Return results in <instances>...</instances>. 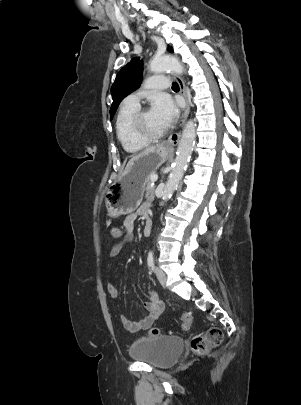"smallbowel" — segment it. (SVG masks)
I'll return each mask as SVG.
<instances>
[{"label":"small bowel","instance_id":"obj_1","mask_svg":"<svg viewBox=\"0 0 301 405\" xmlns=\"http://www.w3.org/2000/svg\"><path fill=\"white\" fill-rule=\"evenodd\" d=\"M149 207L150 206L148 203H144L136 212L130 213L125 217L123 223L125 235L123 236L122 231L119 229L118 236H111L113 240L117 241L110 249L111 257H116L122 250L123 246L133 240L135 221L138 216H141L147 220L149 218ZM107 291L111 299L115 301L119 294L118 288L113 283L109 282L107 284ZM143 305L146 310V315L140 320L132 321L125 315L120 316V320L124 328L131 333L150 328L163 311V304L159 300L157 293L153 290L147 291Z\"/></svg>","mask_w":301,"mask_h":405}]
</instances>
